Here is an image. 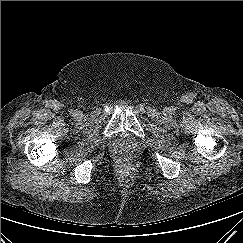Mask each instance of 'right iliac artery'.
<instances>
[{"instance_id":"right-iliac-artery-1","label":"right iliac artery","mask_w":243,"mask_h":243,"mask_svg":"<svg viewBox=\"0 0 243 243\" xmlns=\"http://www.w3.org/2000/svg\"><path fill=\"white\" fill-rule=\"evenodd\" d=\"M70 115H71V116H76V111L71 110V111H70Z\"/></svg>"}]
</instances>
